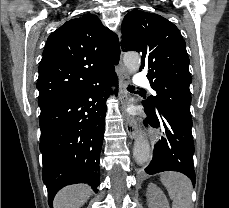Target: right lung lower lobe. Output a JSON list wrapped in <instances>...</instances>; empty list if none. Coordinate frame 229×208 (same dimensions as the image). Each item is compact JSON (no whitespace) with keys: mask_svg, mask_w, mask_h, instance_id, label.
<instances>
[{"mask_svg":"<svg viewBox=\"0 0 229 208\" xmlns=\"http://www.w3.org/2000/svg\"><path fill=\"white\" fill-rule=\"evenodd\" d=\"M117 82L114 72L40 115L42 176L50 208L66 185L88 183L98 191L106 99Z\"/></svg>","mask_w":229,"mask_h":208,"instance_id":"98d812e1","label":"right lung lower lobe"}]
</instances>
